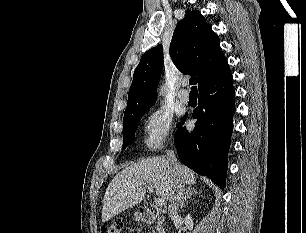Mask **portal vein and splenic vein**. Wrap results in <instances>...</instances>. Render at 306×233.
<instances>
[{"instance_id": "portal-vein-and-splenic-vein-1", "label": "portal vein and splenic vein", "mask_w": 306, "mask_h": 233, "mask_svg": "<svg viewBox=\"0 0 306 233\" xmlns=\"http://www.w3.org/2000/svg\"><path fill=\"white\" fill-rule=\"evenodd\" d=\"M146 187H147V189L149 190L150 193L153 192V187L152 186L147 185ZM155 204L157 206H163L165 204V200L163 198H157L155 200Z\"/></svg>"}]
</instances>
